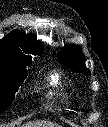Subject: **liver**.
<instances>
[{
    "label": "liver",
    "mask_w": 108,
    "mask_h": 127,
    "mask_svg": "<svg viewBox=\"0 0 108 127\" xmlns=\"http://www.w3.org/2000/svg\"><path fill=\"white\" fill-rule=\"evenodd\" d=\"M22 127H61L59 124L45 121V120H34L31 122H27Z\"/></svg>",
    "instance_id": "obj_1"
}]
</instances>
